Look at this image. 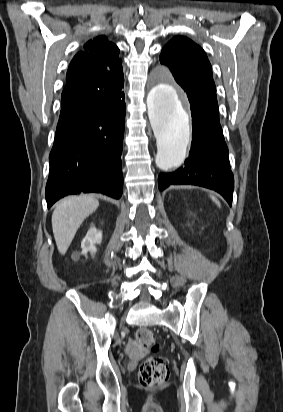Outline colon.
<instances>
[{
	"instance_id": "colon-1",
	"label": "colon",
	"mask_w": 283,
	"mask_h": 412,
	"mask_svg": "<svg viewBox=\"0 0 283 412\" xmlns=\"http://www.w3.org/2000/svg\"><path fill=\"white\" fill-rule=\"evenodd\" d=\"M136 340L141 346L157 351L159 343L155 334L146 328L139 329L136 333ZM170 375L168 364L160 357L148 356L139 367V381L144 387H157L164 384Z\"/></svg>"
}]
</instances>
